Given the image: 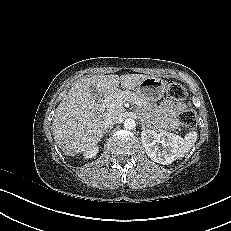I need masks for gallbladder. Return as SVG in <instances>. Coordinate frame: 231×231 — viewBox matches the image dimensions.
Listing matches in <instances>:
<instances>
[{"label": "gallbladder", "mask_w": 231, "mask_h": 231, "mask_svg": "<svg viewBox=\"0 0 231 231\" xmlns=\"http://www.w3.org/2000/svg\"><path fill=\"white\" fill-rule=\"evenodd\" d=\"M91 94L96 100L100 99V93L97 91V89L94 86L90 87Z\"/></svg>", "instance_id": "1"}]
</instances>
